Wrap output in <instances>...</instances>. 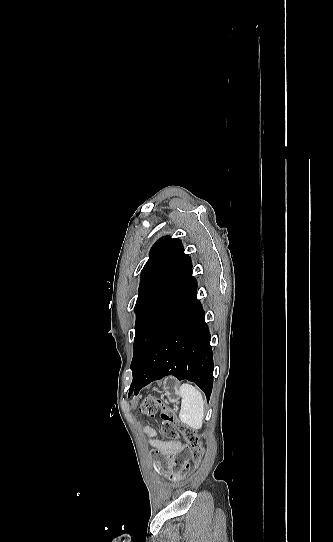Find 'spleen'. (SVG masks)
Returning a JSON list of instances; mask_svg holds the SVG:
<instances>
[{"label":"spleen","instance_id":"obj_1","mask_svg":"<svg viewBox=\"0 0 333 542\" xmlns=\"http://www.w3.org/2000/svg\"><path fill=\"white\" fill-rule=\"evenodd\" d=\"M179 392L182 398L180 422L187 424L192 430H201L204 420V400L201 392L191 384H181Z\"/></svg>","mask_w":333,"mask_h":542}]
</instances>
